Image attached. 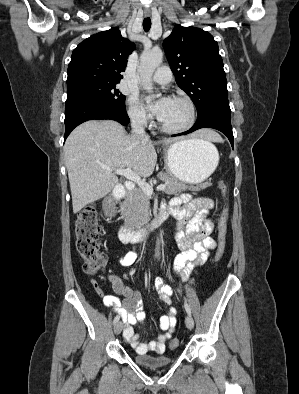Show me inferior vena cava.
I'll return each mask as SVG.
<instances>
[{
	"mask_svg": "<svg viewBox=\"0 0 299 394\" xmlns=\"http://www.w3.org/2000/svg\"><path fill=\"white\" fill-rule=\"evenodd\" d=\"M131 128L133 134L140 135L145 140L149 139V136L146 134L144 130L143 121L140 116H135L132 118Z\"/></svg>",
	"mask_w": 299,
	"mask_h": 394,
	"instance_id": "602c4592",
	"label": "inferior vena cava"
}]
</instances>
